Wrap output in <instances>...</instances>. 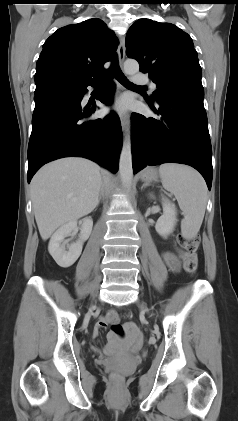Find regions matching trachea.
I'll return each instance as SVG.
<instances>
[{
	"label": "trachea",
	"mask_w": 238,
	"mask_h": 421,
	"mask_svg": "<svg viewBox=\"0 0 238 421\" xmlns=\"http://www.w3.org/2000/svg\"><path fill=\"white\" fill-rule=\"evenodd\" d=\"M118 80L123 86L130 88H143L142 86L131 83L127 77L121 72L118 64V60L114 59L108 71L101 76L99 81L101 84H106L111 78Z\"/></svg>",
	"instance_id": "obj_1"
}]
</instances>
